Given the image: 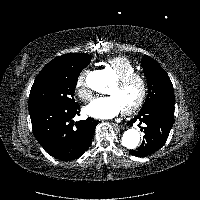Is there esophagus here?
<instances>
[{
	"instance_id": "obj_1",
	"label": "esophagus",
	"mask_w": 200,
	"mask_h": 200,
	"mask_svg": "<svg viewBox=\"0 0 200 200\" xmlns=\"http://www.w3.org/2000/svg\"><path fill=\"white\" fill-rule=\"evenodd\" d=\"M113 126L116 128V129H123V125L121 124H117V123H113Z\"/></svg>"
}]
</instances>
